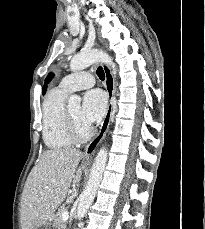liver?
Returning a JSON list of instances; mask_svg holds the SVG:
<instances>
[{
    "label": "liver",
    "mask_w": 205,
    "mask_h": 229,
    "mask_svg": "<svg viewBox=\"0 0 205 229\" xmlns=\"http://www.w3.org/2000/svg\"><path fill=\"white\" fill-rule=\"evenodd\" d=\"M83 154L76 149H51L43 152L32 168L21 199L22 229H37L52 217L69 192L80 182Z\"/></svg>",
    "instance_id": "liver-1"
}]
</instances>
